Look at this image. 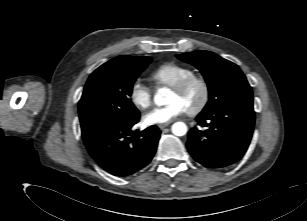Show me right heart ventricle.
<instances>
[{"label": "right heart ventricle", "instance_id": "right-heart-ventricle-1", "mask_svg": "<svg viewBox=\"0 0 307 221\" xmlns=\"http://www.w3.org/2000/svg\"><path fill=\"white\" fill-rule=\"evenodd\" d=\"M192 74L193 70L186 65L166 62L156 67L150 78L157 86H172Z\"/></svg>", "mask_w": 307, "mask_h": 221}]
</instances>
